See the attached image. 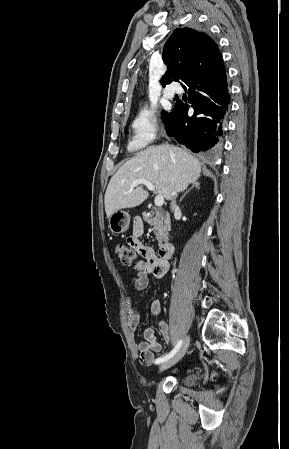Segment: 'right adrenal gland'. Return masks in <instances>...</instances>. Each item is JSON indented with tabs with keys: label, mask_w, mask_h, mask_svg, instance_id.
Returning a JSON list of instances; mask_svg holds the SVG:
<instances>
[{
	"label": "right adrenal gland",
	"mask_w": 289,
	"mask_h": 449,
	"mask_svg": "<svg viewBox=\"0 0 289 449\" xmlns=\"http://www.w3.org/2000/svg\"><path fill=\"white\" fill-rule=\"evenodd\" d=\"M191 184H192L191 187L185 191V193H184V194L182 195V197L180 198L179 202H181V201L183 200V198L187 195V193L190 192L191 189H193V188L200 189V183H199V182L194 181V182H192Z\"/></svg>",
	"instance_id": "right-adrenal-gland-1"
}]
</instances>
